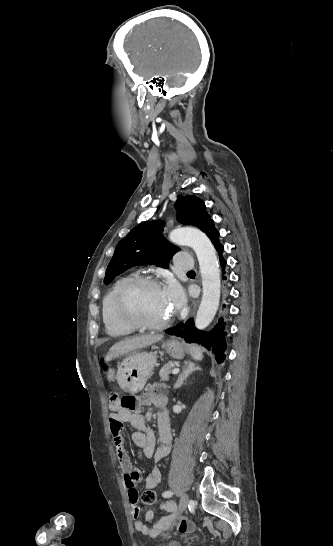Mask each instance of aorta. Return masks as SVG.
Instances as JSON below:
<instances>
[{"instance_id":"obj_1","label":"aorta","mask_w":333,"mask_h":546,"mask_svg":"<svg viewBox=\"0 0 333 546\" xmlns=\"http://www.w3.org/2000/svg\"><path fill=\"white\" fill-rule=\"evenodd\" d=\"M171 242L191 247L198 258L202 278L203 296L195 326L205 329L213 320L220 301V270L216 251L208 237L199 229L186 227L172 231Z\"/></svg>"}]
</instances>
